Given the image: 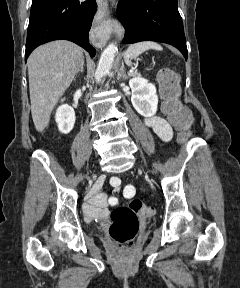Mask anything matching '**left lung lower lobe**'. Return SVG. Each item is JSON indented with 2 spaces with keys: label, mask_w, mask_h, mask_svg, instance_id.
<instances>
[{
  "label": "left lung lower lobe",
  "mask_w": 240,
  "mask_h": 288,
  "mask_svg": "<svg viewBox=\"0 0 240 288\" xmlns=\"http://www.w3.org/2000/svg\"><path fill=\"white\" fill-rule=\"evenodd\" d=\"M117 16L125 29L124 43L146 40L168 43L187 59L177 0H120Z\"/></svg>",
  "instance_id": "left-lung-lower-lobe-1"
}]
</instances>
